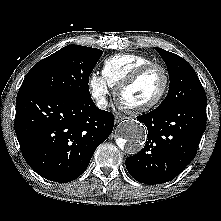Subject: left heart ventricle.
<instances>
[{"instance_id":"obj_1","label":"left heart ventricle","mask_w":221,"mask_h":221,"mask_svg":"<svg viewBox=\"0 0 221 221\" xmlns=\"http://www.w3.org/2000/svg\"><path fill=\"white\" fill-rule=\"evenodd\" d=\"M164 76L159 68L146 72L134 85L125 90L122 100L129 105H140L154 99L162 90Z\"/></svg>"}]
</instances>
